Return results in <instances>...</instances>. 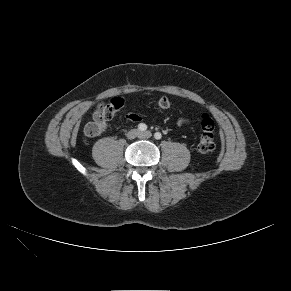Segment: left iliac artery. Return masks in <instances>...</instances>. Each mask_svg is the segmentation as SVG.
I'll return each mask as SVG.
<instances>
[{
	"label": "left iliac artery",
	"mask_w": 291,
	"mask_h": 291,
	"mask_svg": "<svg viewBox=\"0 0 291 291\" xmlns=\"http://www.w3.org/2000/svg\"><path fill=\"white\" fill-rule=\"evenodd\" d=\"M154 138L157 139V140H159V139L162 138V134H161L160 132H156V133L154 134Z\"/></svg>",
	"instance_id": "obj_1"
}]
</instances>
